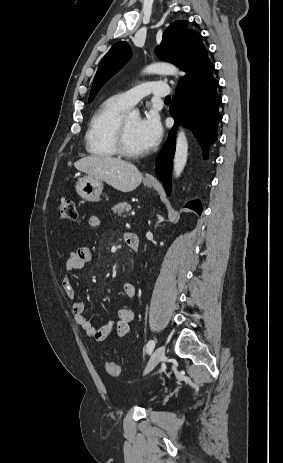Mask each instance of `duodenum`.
<instances>
[{
    "label": "duodenum",
    "mask_w": 283,
    "mask_h": 463,
    "mask_svg": "<svg viewBox=\"0 0 283 463\" xmlns=\"http://www.w3.org/2000/svg\"><path fill=\"white\" fill-rule=\"evenodd\" d=\"M125 241L133 252H137L140 245L139 237L134 233H128L125 236Z\"/></svg>",
    "instance_id": "obj_1"
}]
</instances>
